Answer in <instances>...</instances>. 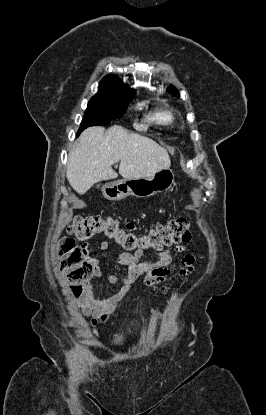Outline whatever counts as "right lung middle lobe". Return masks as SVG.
Wrapping results in <instances>:
<instances>
[{
	"label": "right lung middle lobe",
	"instance_id": "1",
	"mask_svg": "<svg viewBox=\"0 0 266 415\" xmlns=\"http://www.w3.org/2000/svg\"><path fill=\"white\" fill-rule=\"evenodd\" d=\"M133 96H115L108 98H92L88 102L83 120L80 124L77 136L90 126H106L112 120L124 115L128 103Z\"/></svg>",
	"mask_w": 266,
	"mask_h": 415
}]
</instances>
